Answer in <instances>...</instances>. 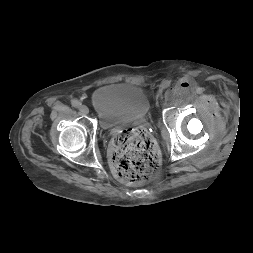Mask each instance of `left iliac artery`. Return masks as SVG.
<instances>
[{"label":"left iliac artery","instance_id":"44dca946","mask_svg":"<svg viewBox=\"0 0 253 253\" xmlns=\"http://www.w3.org/2000/svg\"><path fill=\"white\" fill-rule=\"evenodd\" d=\"M170 84H171V82H170L169 80H165V81L162 83L161 87H162V88H167V87L170 86Z\"/></svg>","mask_w":253,"mask_h":253}]
</instances>
